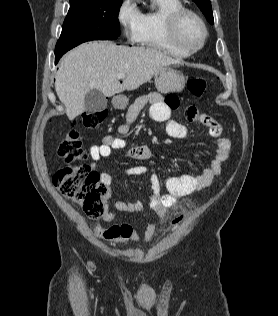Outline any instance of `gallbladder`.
Here are the masks:
<instances>
[{
  "mask_svg": "<svg viewBox=\"0 0 278 316\" xmlns=\"http://www.w3.org/2000/svg\"><path fill=\"white\" fill-rule=\"evenodd\" d=\"M84 103L88 113L101 112L107 107L105 95L97 89H92L85 95Z\"/></svg>",
  "mask_w": 278,
  "mask_h": 316,
  "instance_id": "gallbladder-1",
  "label": "gallbladder"
}]
</instances>
